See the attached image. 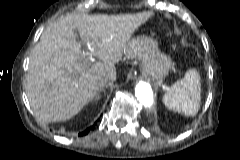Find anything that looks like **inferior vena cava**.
<instances>
[{
	"instance_id": "602c4592",
	"label": "inferior vena cava",
	"mask_w": 240,
	"mask_h": 160,
	"mask_svg": "<svg viewBox=\"0 0 240 160\" xmlns=\"http://www.w3.org/2000/svg\"><path fill=\"white\" fill-rule=\"evenodd\" d=\"M108 81H110L109 78H104V79H102V80L99 82V87H100V88H103L104 85H105Z\"/></svg>"
}]
</instances>
